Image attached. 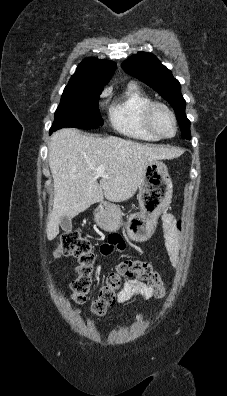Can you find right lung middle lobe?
Returning <instances> with one entry per match:
<instances>
[{"label": "right lung middle lobe", "instance_id": "obj_1", "mask_svg": "<svg viewBox=\"0 0 227 396\" xmlns=\"http://www.w3.org/2000/svg\"><path fill=\"white\" fill-rule=\"evenodd\" d=\"M102 87L92 85H67L55 112L51 131L63 127L93 129L103 125L98 100Z\"/></svg>", "mask_w": 227, "mask_h": 396}]
</instances>
